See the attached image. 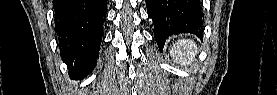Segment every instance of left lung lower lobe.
Wrapping results in <instances>:
<instances>
[{"mask_svg": "<svg viewBox=\"0 0 277 95\" xmlns=\"http://www.w3.org/2000/svg\"><path fill=\"white\" fill-rule=\"evenodd\" d=\"M154 23V37L162 50L166 39L178 33H202L203 14L199 0H146Z\"/></svg>", "mask_w": 277, "mask_h": 95, "instance_id": "0a47b994", "label": "left lung lower lobe"}]
</instances>
